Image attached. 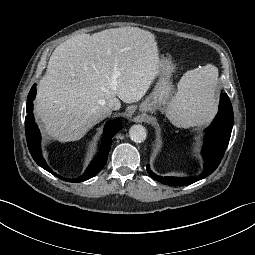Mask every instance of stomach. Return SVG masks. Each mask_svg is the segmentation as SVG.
Listing matches in <instances>:
<instances>
[{
    "label": "stomach",
    "mask_w": 255,
    "mask_h": 255,
    "mask_svg": "<svg viewBox=\"0 0 255 255\" xmlns=\"http://www.w3.org/2000/svg\"><path fill=\"white\" fill-rule=\"evenodd\" d=\"M175 71V65L167 58L159 61L157 82L153 91L140 104L141 112H154L156 110L165 111L173 99L174 85L172 75Z\"/></svg>",
    "instance_id": "1"
}]
</instances>
